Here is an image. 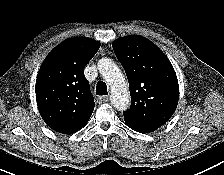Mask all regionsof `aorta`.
<instances>
[{
  "instance_id": "obj_1",
  "label": "aorta",
  "mask_w": 224,
  "mask_h": 175,
  "mask_svg": "<svg viewBox=\"0 0 224 175\" xmlns=\"http://www.w3.org/2000/svg\"><path fill=\"white\" fill-rule=\"evenodd\" d=\"M98 69L110 86L112 106L119 111L126 110L130 105V95L121 70L109 58L100 59L98 61Z\"/></svg>"
}]
</instances>
